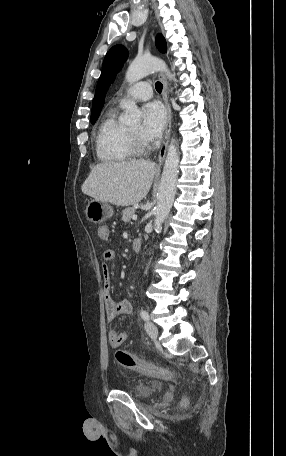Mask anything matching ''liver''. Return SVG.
<instances>
[{
  "label": "liver",
  "instance_id": "6515ba94",
  "mask_svg": "<svg viewBox=\"0 0 286 456\" xmlns=\"http://www.w3.org/2000/svg\"><path fill=\"white\" fill-rule=\"evenodd\" d=\"M156 164L147 160L97 164L83 183L82 192L97 201L130 206L149 192Z\"/></svg>",
  "mask_w": 286,
  "mask_h": 456
}]
</instances>
